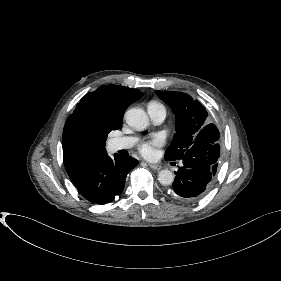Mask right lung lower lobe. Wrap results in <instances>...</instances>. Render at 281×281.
Here are the masks:
<instances>
[{
    "instance_id": "98d812e1",
    "label": "right lung lower lobe",
    "mask_w": 281,
    "mask_h": 281,
    "mask_svg": "<svg viewBox=\"0 0 281 281\" xmlns=\"http://www.w3.org/2000/svg\"><path fill=\"white\" fill-rule=\"evenodd\" d=\"M114 157L112 159L105 151L69 175L78 192L89 202L106 204L113 201L123 191L127 174L138 164L132 157L117 154Z\"/></svg>"
}]
</instances>
